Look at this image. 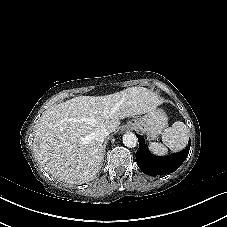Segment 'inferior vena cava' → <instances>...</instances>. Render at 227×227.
Listing matches in <instances>:
<instances>
[{"label":"inferior vena cava","mask_w":227,"mask_h":227,"mask_svg":"<svg viewBox=\"0 0 227 227\" xmlns=\"http://www.w3.org/2000/svg\"><path fill=\"white\" fill-rule=\"evenodd\" d=\"M109 134L110 132L107 129L101 128L94 133V138L97 141L103 142Z\"/></svg>","instance_id":"1"}]
</instances>
